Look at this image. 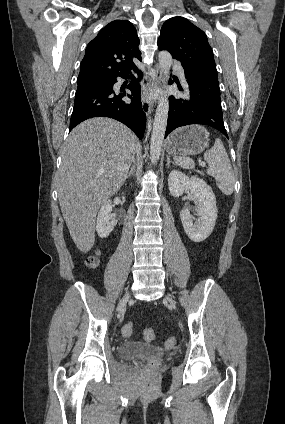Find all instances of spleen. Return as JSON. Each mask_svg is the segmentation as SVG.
<instances>
[{
  "label": "spleen",
  "mask_w": 285,
  "mask_h": 424,
  "mask_svg": "<svg viewBox=\"0 0 285 424\" xmlns=\"http://www.w3.org/2000/svg\"><path fill=\"white\" fill-rule=\"evenodd\" d=\"M204 159L208 163L207 173L215 178L216 185L225 194L231 195L235 186V175L220 139L215 140L214 146L204 153ZM177 165L183 168H194L195 163L188 157H174Z\"/></svg>",
  "instance_id": "obj_1"
}]
</instances>
